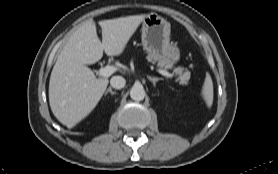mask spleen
Instances as JSON below:
<instances>
[{
	"mask_svg": "<svg viewBox=\"0 0 278 174\" xmlns=\"http://www.w3.org/2000/svg\"><path fill=\"white\" fill-rule=\"evenodd\" d=\"M201 94L207 106L211 107L213 103V82L209 73L206 74Z\"/></svg>",
	"mask_w": 278,
	"mask_h": 174,
	"instance_id": "3e777b00",
	"label": "spleen"
}]
</instances>
